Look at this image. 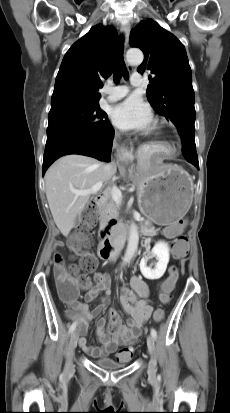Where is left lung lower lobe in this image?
<instances>
[{"label":"left lung lower lobe","mask_w":230,"mask_h":413,"mask_svg":"<svg viewBox=\"0 0 230 413\" xmlns=\"http://www.w3.org/2000/svg\"><path fill=\"white\" fill-rule=\"evenodd\" d=\"M181 138H182V144H183L182 153L185 159L189 163L193 164L197 169H199L196 146H195V149L193 147L195 145L194 137L186 133V134H182Z\"/></svg>","instance_id":"1"}]
</instances>
